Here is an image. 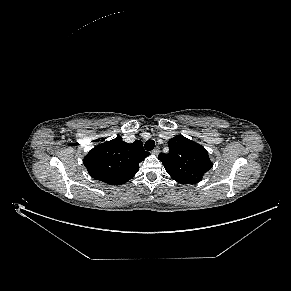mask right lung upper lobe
<instances>
[{
  "label": "right lung upper lobe",
  "mask_w": 291,
  "mask_h": 291,
  "mask_svg": "<svg viewBox=\"0 0 291 291\" xmlns=\"http://www.w3.org/2000/svg\"><path fill=\"white\" fill-rule=\"evenodd\" d=\"M149 154L143 149L142 141L128 144L118 136L90 150L83 163L94 179L121 185L134 177L139 170V163Z\"/></svg>",
  "instance_id": "1"
}]
</instances>
